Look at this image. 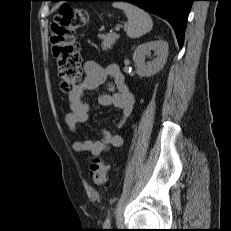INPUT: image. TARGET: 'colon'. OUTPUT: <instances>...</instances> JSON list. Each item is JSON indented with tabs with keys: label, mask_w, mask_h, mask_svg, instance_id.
<instances>
[{
	"label": "colon",
	"mask_w": 231,
	"mask_h": 231,
	"mask_svg": "<svg viewBox=\"0 0 231 231\" xmlns=\"http://www.w3.org/2000/svg\"><path fill=\"white\" fill-rule=\"evenodd\" d=\"M88 22L86 12L71 5H63L52 23L51 45L58 78L63 91L70 92L82 78L80 46L75 40L76 30ZM89 175L97 185L109 180L108 166L99 157L93 158Z\"/></svg>",
	"instance_id": "colon-1"
}]
</instances>
